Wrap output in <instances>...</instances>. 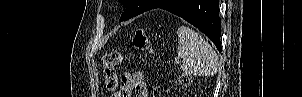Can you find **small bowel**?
Returning a JSON list of instances; mask_svg holds the SVG:
<instances>
[{
  "instance_id": "1",
  "label": "small bowel",
  "mask_w": 302,
  "mask_h": 97,
  "mask_svg": "<svg viewBox=\"0 0 302 97\" xmlns=\"http://www.w3.org/2000/svg\"><path fill=\"white\" fill-rule=\"evenodd\" d=\"M115 97H147V87L142 72H126L121 78L120 90Z\"/></svg>"
}]
</instances>
